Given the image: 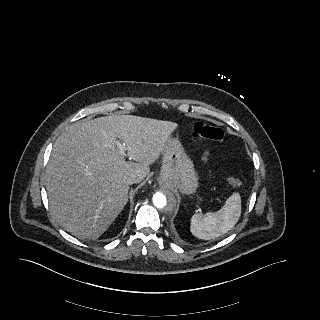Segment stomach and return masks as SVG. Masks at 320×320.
<instances>
[{
	"label": "stomach",
	"mask_w": 320,
	"mask_h": 320,
	"mask_svg": "<svg viewBox=\"0 0 320 320\" xmlns=\"http://www.w3.org/2000/svg\"><path fill=\"white\" fill-rule=\"evenodd\" d=\"M159 184L174 188L182 194H193L198 187V177L193 161L177 138L169 137L162 152Z\"/></svg>",
	"instance_id": "1"
}]
</instances>
